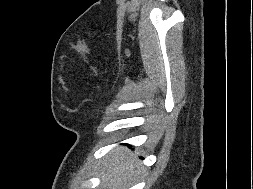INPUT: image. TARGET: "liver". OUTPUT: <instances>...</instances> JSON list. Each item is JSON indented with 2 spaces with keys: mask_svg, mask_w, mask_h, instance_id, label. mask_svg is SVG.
<instances>
[{
  "mask_svg": "<svg viewBox=\"0 0 253 189\" xmlns=\"http://www.w3.org/2000/svg\"><path fill=\"white\" fill-rule=\"evenodd\" d=\"M139 167L128 149L114 150L107 155L101 172L102 189H128Z\"/></svg>",
  "mask_w": 253,
  "mask_h": 189,
  "instance_id": "liver-1",
  "label": "liver"
}]
</instances>
